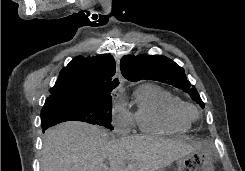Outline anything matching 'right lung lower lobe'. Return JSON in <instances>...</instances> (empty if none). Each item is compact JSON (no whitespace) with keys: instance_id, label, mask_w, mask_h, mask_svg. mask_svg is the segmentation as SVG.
I'll list each match as a JSON object with an SVG mask.
<instances>
[{"instance_id":"1","label":"right lung lower lobe","mask_w":245,"mask_h":171,"mask_svg":"<svg viewBox=\"0 0 245 171\" xmlns=\"http://www.w3.org/2000/svg\"><path fill=\"white\" fill-rule=\"evenodd\" d=\"M47 128H48V127H44V128H43V131H45Z\"/></svg>"}]
</instances>
